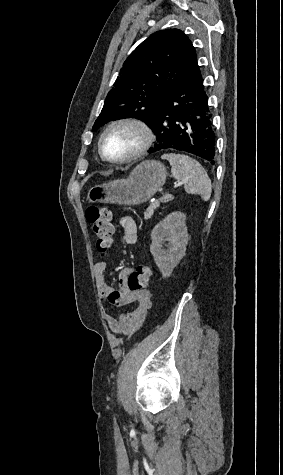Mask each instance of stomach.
<instances>
[{
	"mask_svg": "<svg viewBox=\"0 0 283 475\" xmlns=\"http://www.w3.org/2000/svg\"><path fill=\"white\" fill-rule=\"evenodd\" d=\"M167 172L158 160H144L132 170L126 180H115L90 188L87 194L91 204H119L138 206L150 200L165 184Z\"/></svg>",
	"mask_w": 283,
	"mask_h": 475,
	"instance_id": "obj_1",
	"label": "stomach"
}]
</instances>
